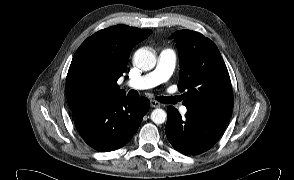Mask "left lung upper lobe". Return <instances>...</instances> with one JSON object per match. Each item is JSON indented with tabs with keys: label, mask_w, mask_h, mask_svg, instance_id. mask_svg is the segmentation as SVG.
<instances>
[{
	"label": "left lung upper lobe",
	"mask_w": 294,
	"mask_h": 180,
	"mask_svg": "<svg viewBox=\"0 0 294 180\" xmlns=\"http://www.w3.org/2000/svg\"><path fill=\"white\" fill-rule=\"evenodd\" d=\"M179 47L180 91H186L185 106L233 108L230 76L216 45L190 30L173 33Z\"/></svg>",
	"instance_id": "left-lung-upper-lobe-1"
}]
</instances>
